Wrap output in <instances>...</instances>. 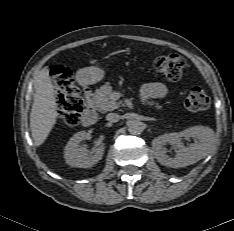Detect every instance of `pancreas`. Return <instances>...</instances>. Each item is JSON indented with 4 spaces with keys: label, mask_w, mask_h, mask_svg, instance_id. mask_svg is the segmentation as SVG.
<instances>
[{
    "label": "pancreas",
    "mask_w": 234,
    "mask_h": 231,
    "mask_svg": "<svg viewBox=\"0 0 234 231\" xmlns=\"http://www.w3.org/2000/svg\"><path fill=\"white\" fill-rule=\"evenodd\" d=\"M114 93L115 92L112 90L110 85L106 84L101 86L94 93V106L101 112L117 109L119 107V103L113 99ZM150 104L155 105L157 109L161 108V106L157 103L151 102Z\"/></svg>",
    "instance_id": "obj_1"
}]
</instances>
